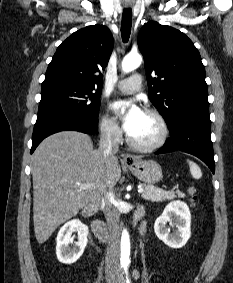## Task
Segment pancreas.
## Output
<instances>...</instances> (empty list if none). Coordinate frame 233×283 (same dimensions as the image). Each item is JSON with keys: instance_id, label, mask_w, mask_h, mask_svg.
I'll list each match as a JSON object with an SVG mask.
<instances>
[{"instance_id": "obj_1", "label": "pancreas", "mask_w": 233, "mask_h": 283, "mask_svg": "<svg viewBox=\"0 0 233 283\" xmlns=\"http://www.w3.org/2000/svg\"><path fill=\"white\" fill-rule=\"evenodd\" d=\"M144 189V192L142 193V198L148 201H156V202H162L165 200H172L174 198L178 197H184V193L177 190H171V191H164L158 187H155L153 185H141Z\"/></svg>"}]
</instances>
